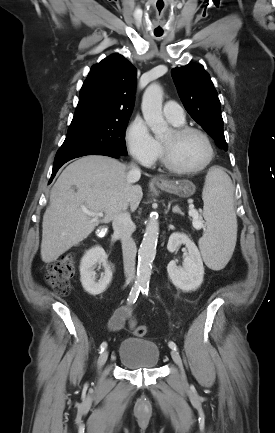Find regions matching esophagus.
I'll use <instances>...</instances> for the list:
<instances>
[{
	"label": "esophagus",
	"instance_id": "1",
	"mask_svg": "<svg viewBox=\"0 0 275 433\" xmlns=\"http://www.w3.org/2000/svg\"><path fill=\"white\" fill-rule=\"evenodd\" d=\"M155 183H156L157 185H162V184H165V183H166V180H165L164 178L157 177V178L155 179Z\"/></svg>",
	"mask_w": 275,
	"mask_h": 433
}]
</instances>
